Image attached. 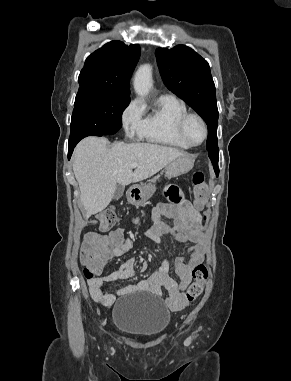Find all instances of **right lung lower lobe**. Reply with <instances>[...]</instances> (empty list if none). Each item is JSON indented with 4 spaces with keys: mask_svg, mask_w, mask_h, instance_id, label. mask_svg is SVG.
I'll list each match as a JSON object with an SVG mask.
<instances>
[{
    "mask_svg": "<svg viewBox=\"0 0 291 381\" xmlns=\"http://www.w3.org/2000/svg\"><path fill=\"white\" fill-rule=\"evenodd\" d=\"M78 142H69V146H68V159H70L71 155H72V152L74 150V147L76 146Z\"/></svg>",
    "mask_w": 291,
    "mask_h": 381,
    "instance_id": "1",
    "label": "right lung lower lobe"
}]
</instances>
